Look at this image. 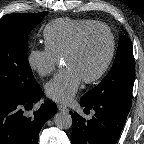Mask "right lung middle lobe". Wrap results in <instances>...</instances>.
Masks as SVG:
<instances>
[{"label": "right lung middle lobe", "mask_w": 144, "mask_h": 144, "mask_svg": "<svg viewBox=\"0 0 144 144\" xmlns=\"http://www.w3.org/2000/svg\"><path fill=\"white\" fill-rule=\"evenodd\" d=\"M46 14H9L0 19V98L25 96L40 87L26 53L30 31Z\"/></svg>", "instance_id": "1"}]
</instances>
